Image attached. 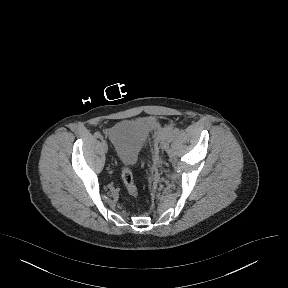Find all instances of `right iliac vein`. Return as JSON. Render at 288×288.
<instances>
[{
    "instance_id": "obj_1",
    "label": "right iliac vein",
    "mask_w": 288,
    "mask_h": 288,
    "mask_svg": "<svg viewBox=\"0 0 288 288\" xmlns=\"http://www.w3.org/2000/svg\"><path fill=\"white\" fill-rule=\"evenodd\" d=\"M101 144H102L103 150H104L105 152H107V150H108V145H107L106 141L103 140V141L101 142Z\"/></svg>"
}]
</instances>
